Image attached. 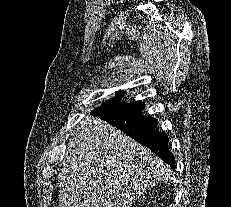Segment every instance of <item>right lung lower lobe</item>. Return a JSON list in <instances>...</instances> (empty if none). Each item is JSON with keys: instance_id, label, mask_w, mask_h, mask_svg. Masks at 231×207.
<instances>
[{"instance_id": "1", "label": "right lung lower lobe", "mask_w": 231, "mask_h": 207, "mask_svg": "<svg viewBox=\"0 0 231 207\" xmlns=\"http://www.w3.org/2000/svg\"><path fill=\"white\" fill-rule=\"evenodd\" d=\"M145 105L141 101L121 104L104 103L93 111L94 115L151 149L164 162L174 168V156L169 151L168 136L156 129L157 120L152 116H143Z\"/></svg>"}]
</instances>
